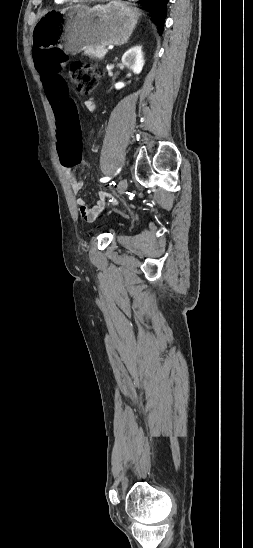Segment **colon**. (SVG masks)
I'll return each instance as SVG.
<instances>
[{"mask_svg":"<svg viewBox=\"0 0 253 548\" xmlns=\"http://www.w3.org/2000/svg\"><path fill=\"white\" fill-rule=\"evenodd\" d=\"M35 70L39 74L42 87V96H47V104L53 105V118L57 121V142L55 151L60 156L62 166H74L76 164L88 165L86 159L81 157L79 137L81 128L78 124L79 105L73 98L74 92L68 87L65 60H50L61 56L50 49H35L33 53ZM70 75L75 90L80 95L89 94L97 85L100 73L85 63L76 61L72 63ZM92 169L90 166L87 168Z\"/></svg>","mask_w":253,"mask_h":548,"instance_id":"colon-1","label":"colon"}]
</instances>
